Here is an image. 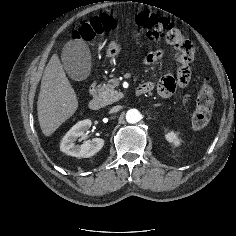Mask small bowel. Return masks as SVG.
<instances>
[{
  "label": "small bowel",
  "instance_id": "1",
  "mask_svg": "<svg viewBox=\"0 0 236 236\" xmlns=\"http://www.w3.org/2000/svg\"><path fill=\"white\" fill-rule=\"evenodd\" d=\"M178 50V63L179 68L177 72V76L174 77L171 74L163 75L158 82H148L143 86L146 87L149 92L153 89H157L160 96L167 98L170 97L178 87H185L190 79H191V63L194 59V48L190 41L184 38V42L178 47L175 46ZM163 57L162 51H154L147 55L145 58L146 64H153ZM188 77V83L183 84L182 79L183 77Z\"/></svg>",
  "mask_w": 236,
  "mask_h": 236
}]
</instances>
